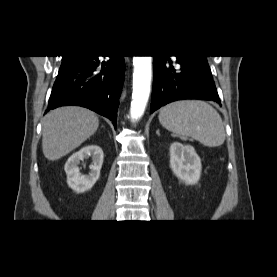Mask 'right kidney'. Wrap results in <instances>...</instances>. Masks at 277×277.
I'll return each mask as SVG.
<instances>
[{"instance_id":"ca27d5eb","label":"right kidney","mask_w":277,"mask_h":277,"mask_svg":"<svg viewBox=\"0 0 277 277\" xmlns=\"http://www.w3.org/2000/svg\"><path fill=\"white\" fill-rule=\"evenodd\" d=\"M91 157L89 175L80 173L78 164L81 160ZM104 154L102 149L97 145L83 147L78 152L72 154L65 164L67 174V183L71 189L77 193L90 190L99 179L100 170L103 164Z\"/></svg>"}]
</instances>
